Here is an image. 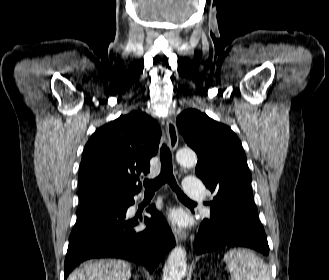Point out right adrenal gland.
<instances>
[{
    "label": "right adrenal gland",
    "mask_w": 329,
    "mask_h": 280,
    "mask_svg": "<svg viewBox=\"0 0 329 280\" xmlns=\"http://www.w3.org/2000/svg\"><path fill=\"white\" fill-rule=\"evenodd\" d=\"M134 280H137V277L136 276L134 277Z\"/></svg>",
    "instance_id": "1"
}]
</instances>
